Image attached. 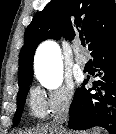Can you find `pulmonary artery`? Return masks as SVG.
<instances>
[{
  "label": "pulmonary artery",
  "instance_id": "e3ab8cb5",
  "mask_svg": "<svg viewBox=\"0 0 116 134\" xmlns=\"http://www.w3.org/2000/svg\"><path fill=\"white\" fill-rule=\"evenodd\" d=\"M74 50H75V61L78 65L80 66H85L87 61H88V58L82 54L81 52V45L79 42H77L74 46Z\"/></svg>",
  "mask_w": 116,
  "mask_h": 134
}]
</instances>
